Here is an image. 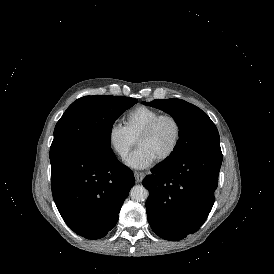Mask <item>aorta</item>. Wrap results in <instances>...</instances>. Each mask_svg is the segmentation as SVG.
<instances>
[{
    "instance_id": "762f6f07",
    "label": "aorta",
    "mask_w": 274,
    "mask_h": 274,
    "mask_svg": "<svg viewBox=\"0 0 274 274\" xmlns=\"http://www.w3.org/2000/svg\"><path fill=\"white\" fill-rule=\"evenodd\" d=\"M149 196L148 190L142 185H135L130 191V197L136 202L145 201Z\"/></svg>"
}]
</instances>
